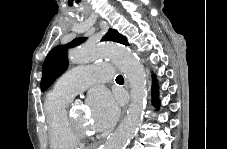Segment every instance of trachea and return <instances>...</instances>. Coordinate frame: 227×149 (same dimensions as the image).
<instances>
[{
    "label": "trachea",
    "mask_w": 227,
    "mask_h": 149,
    "mask_svg": "<svg viewBox=\"0 0 227 149\" xmlns=\"http://www.w3.org/2000/svg\"><path fill=\"white\" fill-rule=\"evenodd\" d=\"M123 81H124V79H123V77L121 75H118L116 77V82H123Z\"/></svg>",
    "instance_id": "obj_1"
}]
</instances>
